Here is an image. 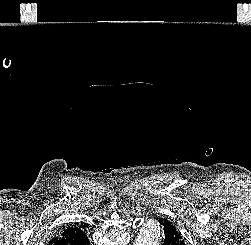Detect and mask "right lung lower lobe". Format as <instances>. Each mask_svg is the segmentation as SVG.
<instances>
[{
    "instance_id": "1",
    "label": "right lung lower lobe",
    "mask_w": 251,
    "mask_h": 245,
    "mask_svg": "<svg viewBox=\"0 0 251 245\" xmlns=\"http://www.w3.org/2000/svg\"><path fill=\"white\" fill-rule=\"evenodd\" d=\"M49 245H90V242L79 227H69L58 232Z\"/></svg>"
}]
</instances>
